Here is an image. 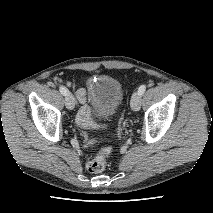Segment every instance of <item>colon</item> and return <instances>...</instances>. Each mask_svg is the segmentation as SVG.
I'll return each instance as SVG.
<instances>
[{
  "instance_id": "colon-1",
  "label": "colon",
  "mask_w": 213,
  "mask_h": 213,
  "mask_svg": "<svg viewBox=\"0 0 213 213\" xmlns=\"http://www.w3.org/2000/svg\"><path fill=\"white\" fill-rule=\"evenodd\" d=\"M113 145H103L98 153L86 163V169L92 174H98L104 171L106 158L113 151Z\"/></svg>"
}]
</instances>
